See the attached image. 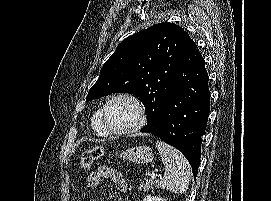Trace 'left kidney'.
I'll return each instance as SVG.
<instances>
[{"label":"left kidney","instance_id":"left-kidney-1","mask_svg":"<svg viewBox=\"0 0 271 201\" xmlns=\"http://www.w3.org/2000/svg\"><path fill=\"white\" fill-rule=\"evenodd\" d=\"M143 201H167L163 198L157 197V196H151V195H147Z\"/></svg>","mask_w":271,"mask_h":201}]
</instances>
